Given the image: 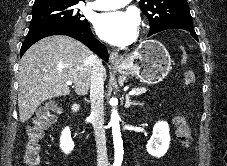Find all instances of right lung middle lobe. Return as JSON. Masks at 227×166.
<instances>
[{
	"instance_id": "dd1d6c3e",
	"label": "right lung middle lobe",
	"mask_w": 227,
	"mask_h": 166,
	"mask_svg": "<svg viewBox=\"0 0 227 166\" xmlns=\"http://www.w3.org/2000/svg\"><path fill=\"white\" fill-rule=\"evenodd\" d=\"M75 5V3L57 2L33 5L29 32L53 25L90 26L86 19H82L81 14L76 13Z\"/></svg>"
}]
</instances>
